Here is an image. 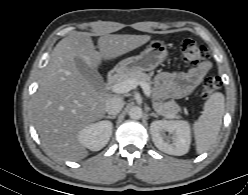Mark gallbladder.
Here are the masks:
<instances>
[{
	"label": "gallbladder",
	"mask_w": 248,
	"mask_h": 195,
	"mask_svg": "<svg viewBox=\"0 0 248 195\" xmlns=\"http://www.w3.org/2000/svg\"><path fill=\"white\" fill-rule=\"evenodd\" d=\"M75 63L80 74L87 79L97 91L104 87V80L97 69L89 67L82 59L75 58Z\"/></svg>",
	"instance_id": "obj_1"
}]
</instances>
